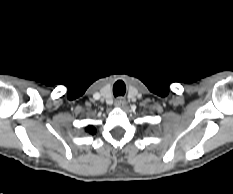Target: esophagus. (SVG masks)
Segmentation results:
<instances>
[{"mask_svg": "<svg viewBox=\"0 0 233 194\" xmlns=\"http://www.w3.org/2000/svg\"><path fill=\"white\" fill-rule=\"evenodd\" d=\"M115 106L116 107H119V108H123L125 106V99L122 98V97H118L116 100H115Z\"/></svg>", "mask_w": 233, "mask_h": 194, "instance_id": "34e87169", "label": "esophagus"}]
</instances>
